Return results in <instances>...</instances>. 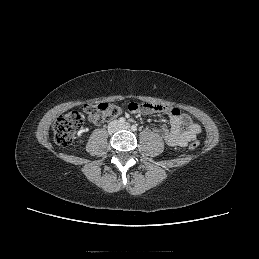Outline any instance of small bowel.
Wrapping results in <instances>:
<instances>
[{
    "label": "small bowel",
    "mask_w": 259,
    "mask_h": 259,
    "mask_svg": "<svg viewBox=\"0 0 259 259\" xmlns=\"http://www.w3.org/2000/svg\"><path fill=\"white\" fill-rule=\"evenodd\" d=\"M127 109L131 113H164L170 120V128L160 126L154 130L160 134L169 146L183 147L195 139L202 131L201 126L194 122L188 114L182 113L178 108L158 104H150L146 101H132Z\"/></svg>",
    "instance_id": "small-bowel-1"
}]
</instances>
